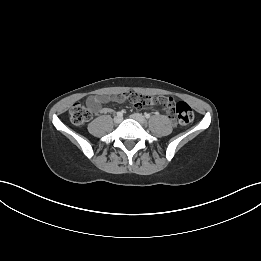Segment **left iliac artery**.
<instances>
[{"mask_svg": "<svg viewBox=\"0 0 261 261\" xmlns=\"http://www.w3.org/2000/svg\"><path fill=\"white\" fill-rule=\"evenodd\" d=\"M145 117H146L147 119H149V118H150V114L146 113V114H145Z\"/></svg>", "mask_w": 261, "mask_h": 261, "instance_id": "obj_1", "label": "left iliac artery"}]
</instances>
